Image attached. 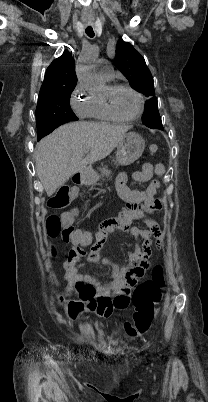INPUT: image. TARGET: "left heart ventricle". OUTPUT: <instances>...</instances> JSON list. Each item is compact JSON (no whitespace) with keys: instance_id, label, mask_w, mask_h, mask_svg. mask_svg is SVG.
Here are the masks:
<instances>
[{"instance_id":"b2bd125f","label":"left heart ventricle","mask_w":208,"mask_h":402,"mask_svg":"<svg viewBox=\"0 0 208 402\" xmlns=\"http://www.w3.org/2000/svg\"><path fill=\"white\" fill-rule=\"evenodd\" d=\"M138 97L127 89H119L113 97L115 110L124 117L135 115L139 109Z\"/></svg>"}]
</instances>
